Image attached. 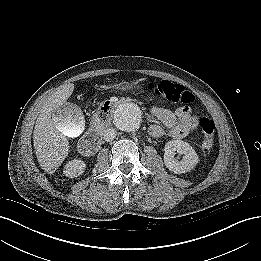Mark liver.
<instances>
[{
    "label": "liver",
    "mask_w": 261,
    "mask_h": 261,
    "mask_svg": "<svg viewBox=\"0 0 261 261\" xmlns=\"http://www.w3.org/2000/svg\"><path fill=\"white\" fill-rule=\"evenodd\" d=\"M74 84L69 83L60 86L56 91L47 96L39 110L33 132V145L35 154L41 168L48 174H53L69 152V142L64 131L62 119L57 115L59 108L63 106L72 95ZM84 125V117L81 109L75 105L74 128L72 135L81 133Z\"/></svg>",
    "instance_id": "1"
}]
</instances>
